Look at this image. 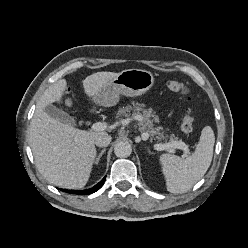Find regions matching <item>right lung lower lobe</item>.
<instances>
[{
    "label": "right lung lower lobe",
    "mask_w": 248,
    "mask_h": 248,
    "mask_svg": "<svg viewBox=\"0 0 248 248\" xmlns=\"http://www.w3.org/2000/svg\"><path fill=\"white\" fill-rule=\"evenodd\" d=\"M105 178L106 177H104L98 184H96L93 188H90V189H86V190H66L65 189L63 191L68 192V193H73V194H79V195L92 194L102 187V185L105 182Z\"/></svg>",
    "instance_id": "obj_1"
}]
</instances>
